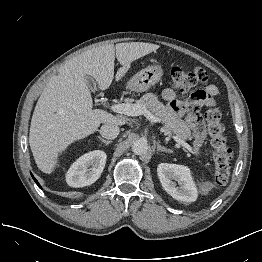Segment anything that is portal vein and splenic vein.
Listing matches in <instances>:
<instances>
[{"instance_id": "18ae733b", "label": "portal vein and splenic vein", "mask_w": 262, "mask_h": 262, "mask_svg": "<svg viewBox=\"0 0 262 262\" xmlns=\"http://www.w3.org/2000/svg\"><path fill=\"white\" fill-rule=\"evenodd\" d=\"M111 110L113 112L127 115V116H139L144 115L148 120L151 122H158L159 119L155 117L150 111L146 109L145 106H142L140 104H129V103H122V104H114L111 106ZM173 139L181 146L189 150L190 152H193L192 147L186 143L184 140L178 138L177 136H173Z\"/></svg>"}]
</instances>
